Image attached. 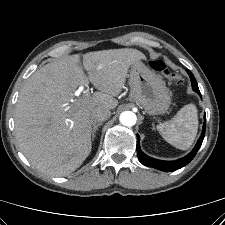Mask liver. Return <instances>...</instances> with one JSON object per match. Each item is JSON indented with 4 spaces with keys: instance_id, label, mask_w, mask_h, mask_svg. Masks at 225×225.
<instances>
[{
    "instance_id": "6515ba94",
    "label": "liver",
    "mask_w": 225,
    "mask_h": 225,
    "mask_svg": "<svg viewBox=\"0 0 225 225\" xmlns=\"http://www.w3.org/2000/svg\"><path fill=\"white\" fill-rule=\"evenodd\" d=\"M70 55L35 71L23 85L15 108L18 146L40 172L65 176L81 166L91 152V109H114L128 70L145 55L131 48ZM90 80L97 92L73 100L78 86Z\"/></svg>"
}]
</instances>
